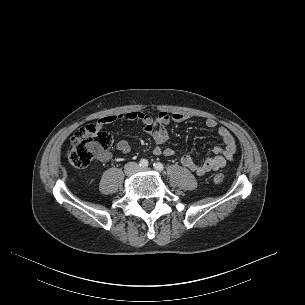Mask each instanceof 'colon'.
<instances>
[{"label": "colon", "mask_w": 305, "mask_h": 305, "mask_svg": "<svg viewBox=\"0 0 305 305\" xmlns=\"http://www.w3.org/2000/svg\"><path fill=\"white\" fill-rule=\"evenodd\" d=\"M112 143L113 138L108 132L101 131L94 125L81 127L71 138L68 161L76 168H85L97 155L107 151ZM212 179L214 183H221L224 180V175L216 172Z\"/></svg>", "instance_id": "obj_1"}]
</instances>
